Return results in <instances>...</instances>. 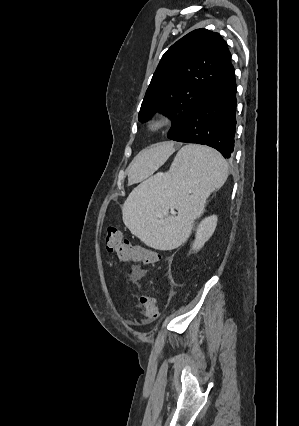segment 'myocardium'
<instances>
[{
	"mask_svg": "<svg viewBox=\"0 0 299 426\" xmlns=\"http://www.w3.org/2000/svg\"><path fill=\"white\" fill-rule=\"evenodd\" d=\"M171 123L170 117L165 113H159L150 117L146 122V128L151 133L159 132Z\"/></svg>",
	"mask_w": 299,
	"mask_h": 426,
	"instance_id": "obj_1",
	"label": "myocardium"
}]
</instances>
